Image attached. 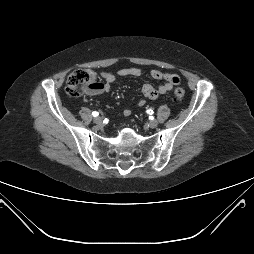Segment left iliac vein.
Masks as SVG:
<instances>
[{
  "label": "left iliac vein",
  "mask_w": 254,
  "mask_h": 254,
  "mask_svg": "<svg viewBox=\"0 0 254 254\" xmlns=\"http://www.w3.org/2000/svg\"><path fill=\"white\" fill-rule=\"evenodd\" d=\"M148 126H149L150 128H156V127L158 126V121H157V120H150V121L148 122Z\"/></svg>",
  "instance_id": "1"
}]
</instances>
